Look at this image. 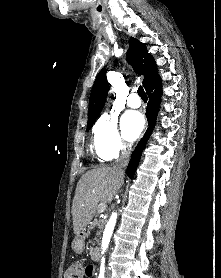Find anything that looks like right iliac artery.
<instances>
[{"mask_svg":"<svg viewBox=\"0 0 221 278\" xmlns=\"http://www.w3.org/2000/svg\"><path fill=\"white\" fill-rule=\"evenodd\" d=\"M98 278H104V266H101V270H100V274L98 276Z\"/></svg>","mask_w":221,"mask_h":278,"instance_id":"82829eb1","label":"right iliac artery"}]
</instances>
